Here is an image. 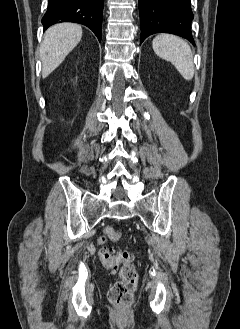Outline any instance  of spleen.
I'll use <instances>...</instances> for the list:
<instances>
[{"label": "spleen", "instance_id": "3e777b00", "mask_svg": "<svg viewBox=\"0 0 240 329\" xmlns=\"http://www.w3.org/2000/svg\"><path fill=\"white\" fill-rule=\"evenodd\" d=\"M154 52L170 61L185 80L194 76L193 54L186 41L170 34L157 35L152 41Z\"/></svg>", "mask_w": 240, "mask_h": 329}]
</instances>
